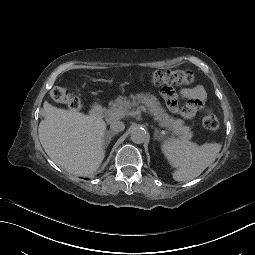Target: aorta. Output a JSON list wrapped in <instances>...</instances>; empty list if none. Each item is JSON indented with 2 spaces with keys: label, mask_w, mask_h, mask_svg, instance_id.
Returning <instances> with one entry per match:
<instances>
[{
  "label": "aorta",
  "mask_w": 255,
  "mask_h": 255,
  "mask_svg": "<svg viewBox=\"0 0 255 255\" xmlns=\"http://www.w3.org/2000/svg\"><path fill=\"white\" fill-rule=\"evenodd\" d=\"M130 137L134 143L141 144L146 140L147 134L145 129L137 126L131 130Z\"/></svg>",
  "instance_id": "obj_1"
}]
</instances>
